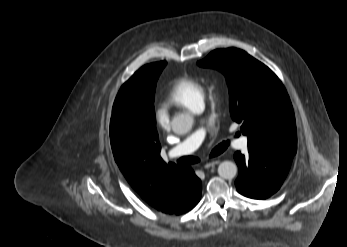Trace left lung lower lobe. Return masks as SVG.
Returning <instances> with one entry per match:
<instances>
[{"label":"left lung lower lobe","mask_w":347,"mask_h":247,"mask_svg":"<svg viewBox=\"0 0 347 247\" xmlns=\"http://www.w3.org/2000/svg\"><path fill=\"white\" fill-rule=\"evenodd\" d=\"M294 154L248 148V155L234 154L239 167L235 181L238 192L253 199H265L277 192L285 180Z\"/></svg>","instance_id":"0a47b994"}]
</instances>
